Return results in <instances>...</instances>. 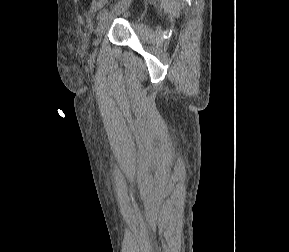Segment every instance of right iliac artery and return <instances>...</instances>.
I'll use <instances>...</instances> for the list:
<instances>
[{
	"mask_svg": "<svg viewBox=\"0 0 289 252\" xmlns=\"http://www.w3.org/2000/svg\"><path fill=\"white\" fill-rule=\"evenodd\" d=\"M107 11H108L107 9L101 10V11L99 12L98 16H97V19H98V20L103 19V18L105 17V15L107 14Z\"/></svg>",
	"mask_w": 289,
	"mask_h": 252,
	"instance_id": "obj_1",
	"label": "right iliac artery"
}]
</instances>
